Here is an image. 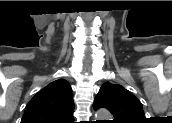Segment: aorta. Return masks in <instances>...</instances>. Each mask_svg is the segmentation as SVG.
Listing matches in <instances>:
<instances>
[{"instance_id":"1","label":"aorta","mask_w":172,"mask_h":123,"mask_svg":"<svg viewBox=\"0 0 172 123\" xmlns=\"http://www.w3.org/2000/svg\"><path fill=\"white\" fill-rule=\"evenodd\" d=\"M110 117H111V115L106 109H100L96 112V118L99 120L110 118Z\"/></svg>"}]
</instances>
